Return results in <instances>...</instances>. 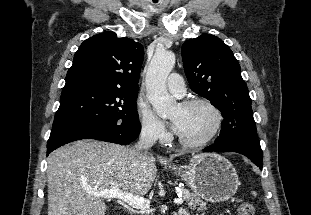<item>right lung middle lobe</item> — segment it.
I'll use <instances>...</instances> for the list:
<instances>
[{"label": "right lung middle lobe", "instance_id": "dd1d6c3e", "mask_svg": "<svg viewBox=\"0 0 311 215\" xmlns=\"http://www.w3.org/2000/svg\"><path fill=\"white\" fill-rule=\"evenodd\" d=\"M137 91L93 84L63 88L53 128L73 123L130 126L139 122Z\"/></svg>", "mask_w": 311, "mask_h": 215}]
</instances>
